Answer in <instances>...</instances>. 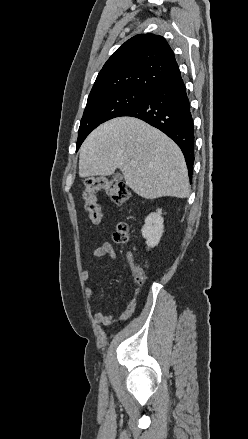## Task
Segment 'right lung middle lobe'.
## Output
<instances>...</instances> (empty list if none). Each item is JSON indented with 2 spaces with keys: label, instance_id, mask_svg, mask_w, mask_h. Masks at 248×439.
<instances>
[{
  "label": "right lung middle lobe",
  "instance_id": "obj_1",
  "mask_svg": "<svg viewBox=\"0 0 248 439\" xmlns=\"http://www.w3.org/2000/svg\"><path fill=\"white\" fill-rule=\"evenodd\" d=\"M147 95L148 93L138 90H120L88 100L78 131L76 150L97 126L121 116Z\"/></svg>",
  "mask_w": 248,
  "mask_h": 439
}]
</instances>
